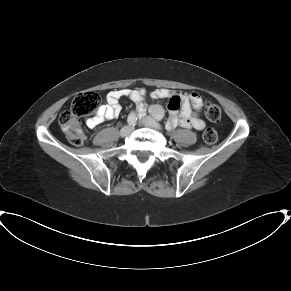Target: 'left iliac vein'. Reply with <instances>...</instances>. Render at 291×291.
<instances>
[{
    "label": "left iliac vein",
    "instance_id": "left-iliac-vein-1",
    "mask_svg": "<svg viewBox=\"0 0 291 291\" xmlns=\"http://www.w3.org/2000/svg\"><path fill=\"white\" fill-rule=\"evenodd\" d=\"M141 122H142L143 126H145V127L154 128L156 130L161 129V125L149 116L144 117Z\"/></svg>",
    "mask_w": 291,
    "mask_h": 291
}]
</instances>
